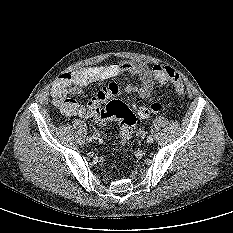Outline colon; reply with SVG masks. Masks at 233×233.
Instances as JSON below:
<instances>
[{
	"label": "colon",
	"instance_id": "obj_1",
	"mask_svg": "<svg viewBox=\"0 0 233 233\" xmlns=\"http://www.w3.org/2000/svg\"><path fill=\"white\" fill-rule=\"evenodd\" d=\"M153 76L158 85L162 86L171 83L177 93H184L183 80L171 67L156 65L153 68ZM161 107V103L154 102L149 106L136 107V113L139 117L145 118L151 113L159 111ZM91 115L94 120L117 119L120 123V147L127 144L132 134V128L136 123V114L127 104L120 100H111L104 108L93 106Z\"/></svg>",
	"mask_w": 233,
	"mask_h": 233
}]
</instances>
